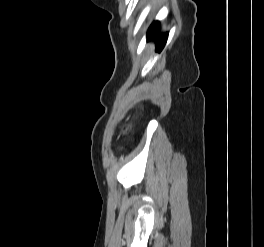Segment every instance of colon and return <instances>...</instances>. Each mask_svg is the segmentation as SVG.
<instances>
[{"label": "colon", "mask_w": 264, "mask_h": 247, "mask_svg": "<svg viewBox=\"0 0 264 247\" xmlns=\"http://www.w3.org/2000/svg\"><path fill=\"white\" fill-rule=\"evenodd\" d=\"M123 131L124 132H127L128 131V128L125 126V127H123Z\"/></svg>", "instance_id": "1"}]
</instances>
